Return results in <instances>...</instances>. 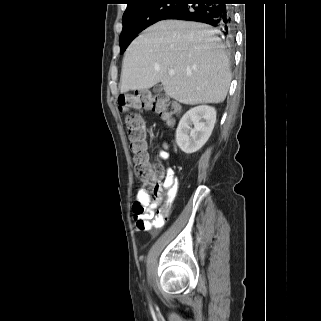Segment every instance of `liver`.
I'll return each instance as SVG.
<instances>
[{
    "instance_id": "6515ba94",
    "label": "liver",
    "mask_w": 321,
    "mask_h": 321,
    "mask_svg": "<svg viewBox=\"0 0 321 321\" xmlns=\"http://www.w3.org/2000/svg\"><path fill=\"white\" fill-rule=\"evenodd\" d=\"M216 33L208 25L178 20L150 26L126 50L121 93L161 82L166 95L183 104L223 102L231 72Z\"/></svg>"
}]
</instances>
